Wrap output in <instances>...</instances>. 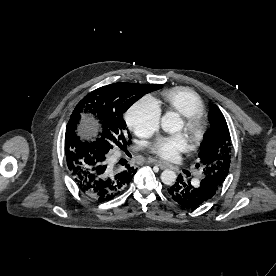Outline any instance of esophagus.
Masks as SVG:
<instances>
[{"mask_svg":"<svg viewBox=\"0 0 276 276\" xmlns=\"http://www.w3.org/2000/svg\"><path fill=\"white\" fill-rule=\"evenodd\" d=\"M148 163H153V164H156L157 166H159L161 169H166L169 167L168 164L164 163V162H161V161H158V160H155V159H148Z\"/></svg>","mask_w":276,"mask_h":276,"instance_id":"esophagus-1","label":"esophagus"}]
</instances>
